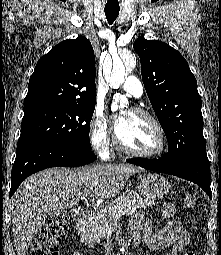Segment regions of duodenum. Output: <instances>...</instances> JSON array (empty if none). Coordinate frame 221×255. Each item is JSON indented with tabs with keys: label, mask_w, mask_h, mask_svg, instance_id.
<instances>
[{
	"label": "duodenum",
	"mask_w": 221,
	"mask_h": 255,
	"mask_svg": "<svg viewBox=\"0 0 221 255\" xmlns=\"http://www.w3.org/2000/svg\"><path fill=\"white\" fill-rule=\"evenodd\" d=\"M74 221L83 229H88L89 227V216L86 212L80 211L74 215ZM138 243L137 240H134V244Z\"/></svg>",
	"instance_id": "duodenum-1"
}]
</instances>
